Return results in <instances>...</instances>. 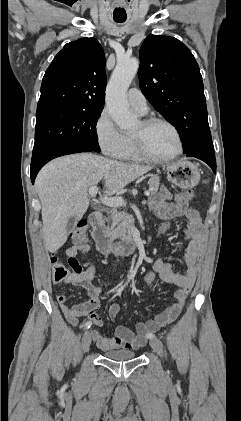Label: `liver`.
<instances>
[{
    "instance_id": "obj_1",
    "label": "liver",
    "mask_w": 241,
    "mask_h": 421,
    "mask_svg": "<svg viewBox=\"0 0 241 421\" xmlns=\"http://www.w3.org/2000/svg\"><path fill=\"white\" fill-rule=\"evenodd\" d=\"M151 166L125 163L103 156L81 153L57 158L45 165L35 181L42 210L46 249L53 253L67 240L68 219L82 218L89 206L87 191L103 180L106 195L119 193L146 174Z\"/></svg>"
}]
</instances>
